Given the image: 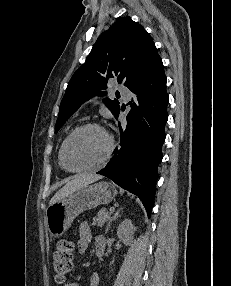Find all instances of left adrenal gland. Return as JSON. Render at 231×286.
Masks as SVG:
<instances>
[{
  "instance_id": "1",
  "label": "left adrenal gland",
  "mask_w": 231,
  "mask_h": 286,
  "mask_svg": "<svg viewBox=\"0 0 231 286\" xmlns=\"http://www.w3.org/2000/svg\"><path fill=\"white\" fill-rule=\"evenodd\" d=\"M120 211H122V208H119V209H117V210L114 212L113 216L110 218V220H109V222H108V224H107L105 233L108 232V230H109V228H110V225H111V222H112L113 220L117 219V218L120 216Z\"/></svg>"
}]
</instances>
